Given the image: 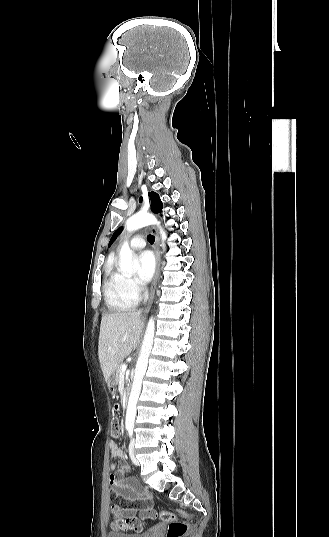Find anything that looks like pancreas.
I'll use <instances>...</instances> for the list:
<instances>
[{
    "instance_id": "cf45deb5",
    "label": "pancreas",
    "mask_w": 329,
    "mask_h": 537,
    "mask_svg": "<svg viewBox=\"0 0 329 537\" xmlns=\"http://www.w3.org/2000/svg\"><path fill=\"white\" fill-rule=\"evenodd\" d=\"M121 366H122V363H120L119 367L117 368L116 372H115V381L116 383H118L121 379V375L123 374L122 371H121Z\"/></svg>"
}]
</instances>
